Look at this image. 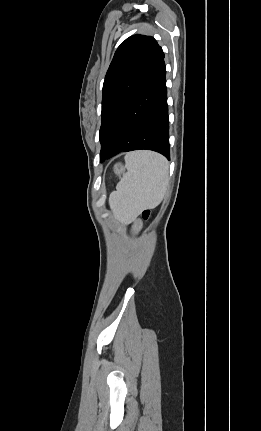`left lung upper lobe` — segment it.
Masks as SVG:
<instances>
[{
  "instance_id": "5c2ea615",
  "label": "left lung upper lobe",
  "mask_w": 261,
  "mask_h": 431,
  "mask_svg": "<svg viewBox=\"0 0 261 431\" xmlns=\"http://www.w3.org/2000/svg\"><path fill=\"white\" fill-rule=\"evenodd\" d=\"M164 53L151 36L133 35L116 50L103 84L100 161L107 159L124 115Z\"/></svg>"
}]
</instances>
